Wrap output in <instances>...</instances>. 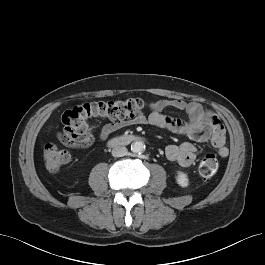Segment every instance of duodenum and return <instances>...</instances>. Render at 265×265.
Segmentation results:
<instances>
[{
	"label": "duodenum",
	"instance_id": "410a0bca",
	"mask_svg": "<svg viewBox=\"0 0 265 265\" xmlns=\"http://www.w3.org/2000/svg\"><path fill=\"white\" fill-rule=\"evenodd\" d=\"M138 138L135 135H121L114 138L109 139L108 144L111 147H117L122 145H128L134 141H136Z\"/></svg>",
	"mask_w": 265,
	"mask_h": 265
}]
</instances>
